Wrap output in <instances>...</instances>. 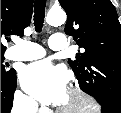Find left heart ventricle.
I'll return each instance as SVG.
<instances>
[{
    "instance_id": "left-heart-ventricle-1",
    "label": "left heart ventricle",
    "mask_w": 121,
    "mask_h": 113,
    "mask_svg": "<svg viewBox=\"0 0 121 113\" xmlns=\"http://www.w3.org/2000/svg\"><path fill=\"white\" fill-rule=\"evenodd\" d=\"M83 105L82 101L68 91L65 94L63 101L60 103V108L71 109V108H81Z\"/></svg>"
}]
</instances>
